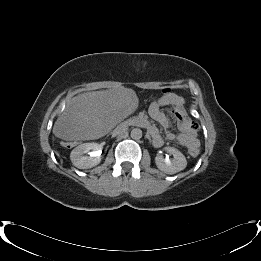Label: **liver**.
<instances>
[{"label":"liver","mask_w":261,"mask_h":261,"mask_svg":"<svg viewBox=\"0 0 261 261\" xmlns=\"http://www.w3.org/2000/svg\"><path fill=\"white\" fill-rule=\"evenodd\" d=\"M133 94L132 90L121 87L78 95L54 123V135L66 141L104 136L124 113L134 110L137 98Z\"/></svg>","instance_id":"1"}]
</instances>
